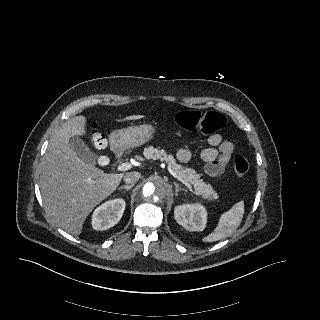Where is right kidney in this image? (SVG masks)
Masks as SVG:
<instances>
[{
	"instance_id": "right-kidney-1",
	"label": "right kidney",
	"mask_w": 320,
	"mask_h": 320,
	"mask_svg": "<svg viewBox=\"0 0 320 320\" xmlns=\"http://www.w3.org/2000/svg\"><path fill=\"white\" fill-rule=\"evenodd\" d=\"M123 199L109 200L97 207L92 217V227L95 230H107L122 218L125 210Z\"/></svg>"
}]
</instances>
